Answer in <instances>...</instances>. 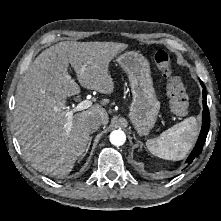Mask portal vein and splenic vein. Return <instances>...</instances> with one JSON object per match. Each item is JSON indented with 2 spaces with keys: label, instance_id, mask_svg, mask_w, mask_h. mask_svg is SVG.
Here are the masks:
<instances>
[{
  "label": "portal vein and splenic vein",
  "instance_id": "18ae733b",
  "mask_svg": "<svg viewBox=\"0 0 221 221\" xmlns=\"http://www.w3.org/2000/svg\"><path fill=\"white\" fill-rule=\"evenodd\" d=\"M92 106V101L90 100H83L81 101L77 106L74 108L70 109L68 108L66 111V116H67V122H66V127H67V132L70 131L71 126H72V116L74 112L82 111L85 110L89 107Z\"/></svg>",
  "mask_w": 221,
  "mask_h": 221
}]
</instances>
